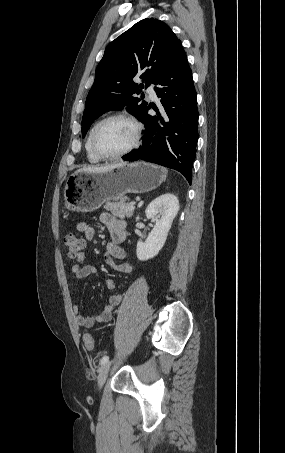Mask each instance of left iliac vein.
Returning a JSON list of instances; mask_svg holds the SVG:
<instances>
[{"label": "left iliac vein", "mask_w": 285, "mask_h": 453, "mask_svg": "<svg viewBox=\"0 0 285 453\" xmlns=\"http://www.w3.org/2000/svg\"><path fill=\"white\" fill-rule=\"evenodd\" d=\"M111 365H112V362L108 361L105 364H103V366L100 369V372H99V375H98V378H97V389L99 391L101 390V388L103 387V385H104V383L106 381V378H107L108 373L110 371Z\"/></svg>", "instance_id": "obj_1"}]
</instances>
